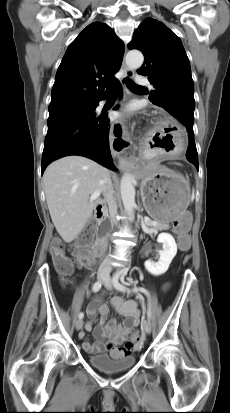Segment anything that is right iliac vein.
<instances>
[{
    "label": "right iliac vein",
    "instance_id": "63e3f726",
    "mask_svg": "<svg viewBox=\"0 0 230 413\" xmlns=\"http://www.w3.org/2000/svg\"><path fill=\"white\" fill-rule=\"evenodd\" d=\"M106 278V275L104 272H99L98 273V280H104ZM83 327V320L82 319H78L75 323V328L76 330H81Z\"/></svg>",
    "mask_w": 230,
    "mask_h": 413
}]
</instances>
